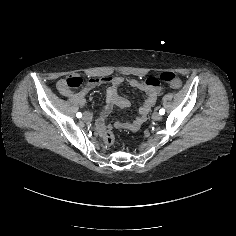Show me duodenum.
I'll use <instances>...</instances> for the list:
<instances>
[{
    "label": "duodenum",
    "instance_id": "410a0bca",
    "mask_svg": "<svg viewBox=\"0 0 236 236\" xmlns=\"http://www.w3.org/2000/svg\"><path fill=\"white\" fill-rule=\"evenodd\" d=\"M106 80L108 83L112 84V86L110 87L109 95H108V102L111 104H118L120 106H124L125 101L123 99L118 98L116 95V87L119 85L120 80L115 79V78H107ZM132 85L145 90L146 93L148 94V97L145 100L142 107H144L150 99L154 98L155 93H156V89L152 85H149L148 83L147 84H140L136 81H133ZM72 98L78 104L83 103V98H81V97H72ZM132 126H133V124H126V125H119L118 124V125H116V127H125V128H131Z\"/></svg>",
    "mask_w": 236,
    "mask_h": 236
}]
</instances>
